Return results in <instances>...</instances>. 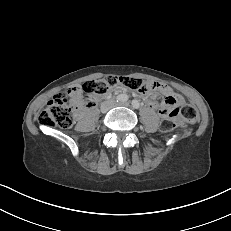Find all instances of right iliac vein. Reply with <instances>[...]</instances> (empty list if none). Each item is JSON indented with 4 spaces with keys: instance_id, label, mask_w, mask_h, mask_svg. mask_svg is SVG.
<instances>
[{
    "instance_id": "63e3f726",
    "label": "right iliac vein",
    "mask_w": 231,
    "mask_h": 231,
    "mask_svg": "<svg viewBox=\"0 0 231 231\" xmlns=\"http://www.w3.org/2000/svg\"><path fill=\"white\" fill-rule=\"evenodd\" d=\"M115 106V103H111L110 105H109V107H108V109H110V108H112V107H114Z\"/></svg>"
}]
</instances>
